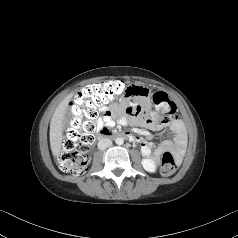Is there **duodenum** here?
Returning a JSON list of instances; mask_svg holds the SVG:
<instances>
[{"label":"duodenum","instance_id":"duodenum-1","mask_svg":"<svg viewBox=\"0 0 238 238\" xmlns=\"http://www.w3.org/2000/svg\"><path fill=\"white\" fill-rule=\"evenodd\" d=\"M101 135L102 136H109V135H115V136H118V137H125L127 139H129L130 141H133V142H137L138 141V137L131 134V133H126V132H118V133H112L110 132L108 129H104L101 131Z\"/></svg>","mask_w":238,"mask_h":238}]
</instances>
